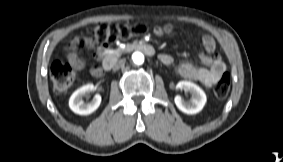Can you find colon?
<instances>
[{"label": "colon", "instance_id": "1", "mask_svg": "<svg viewBox=\"0 0 283 162\" xmlns=\"http://www.w3.org/2000/svg\"><path fill=\"white\" fill-rule=\"evenodd\" d=\"M147 31L143 24H106L100 23L89 30V34L101 43H110L118 39H128L132 36L142 35ZM76 75V69L68 62L57 61L50 69V78L56 92L62 93L70 88ZM231 79L225 73L216 84L214 93L216 97L223 99L230 91Z\"/></svg>", "mask_w": 283, "mask_h": 162}]
</instances>
